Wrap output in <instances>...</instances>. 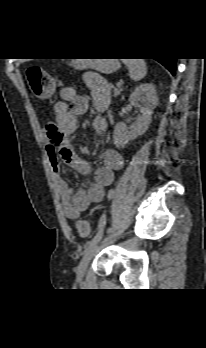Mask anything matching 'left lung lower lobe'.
Masks as SVG:
<instances>
[{
	"label": "left lung lower lobe",
	"mask_w": 206,
	"mask_h": 348,
	"mask_svg": "<svg viewBox=\"0 0 206 348\" xmlns=\"http://www.w3.org/2000/svg\"><path fill=\"white\" fill-rule=\"evenodd\" d=\"M157 61L165 66L172 75H175L176 58L158 59Z\"/></svg>",
	"instance_id": "obj_1"
}]
</instances>
